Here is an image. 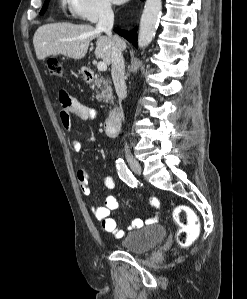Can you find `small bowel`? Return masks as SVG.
I'll use <instances>...</instances> for the list:
<instances>
[{
    "instance_id": "small-bowel-1",
    "label": "small bowel",
    "mask_w": 247,
    "mask_h": 299,
    "mask_svg": "<svg viewBox=\"0 0 247 299\" xmlns=\"http://www.w3.org/2000/svg\"><path fill=\"white\" fill-rule=\"evenodd\" d=\"M60 103L61 112L60 118L62 125L68 131L72 128V117L75 115L82 121H88L91 119H96L98 114L95 109L89 107L78 99L69 95L65 90L60 91ZM94 137L89 134L86 138V142H92ZM83 144L80 140L73 139L71 141V148L74 152H80L82 150ZM77 181L79 187L84 195H89L91 193L90 188V178L86 171L79 170L77 172ZM103 186L107 190H113L116 187V180L113 176H106L103 179ZM149 203L151 205V211L153 214L152 218L147 220L148 223H154L157 220V215L159 214L160 203L155 197L149 198ZM119 206L118 199L114 195H109L105 198L103 205H98L96 203H91L90 209L96 220L99 221L101 227L107 233L113 235L116 238H121L124 233L118 228L117 222L111 217V212L116 210ZM144 225V222L140 218H135L129 225L130 229H139Z\"/></svg>"
}]
</instances>
